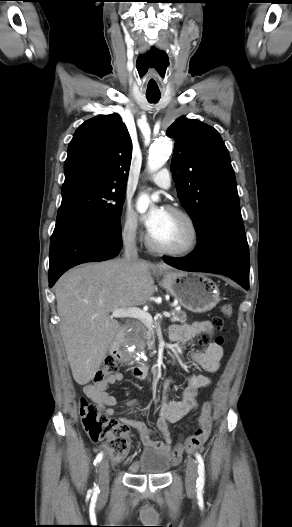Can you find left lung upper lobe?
<instances>
[{
    "mask_svg": "<svg viewBox=\"0 0 292 527\" xmlns=\"http://www.w3.org/2000/svg\"><path fill=\"white\" fill-rule=\"evenodd\" d=\"M167 134L176 140L171 171L177 195L193 219L198 243L227 233L245 234L234 170L217 130L182 117Z\"/></svg>",
    "mask_w": 292,
    "mask_h": 527,
    "instance_id": "obj_1",
    "label": "left lung upper lobe"
}]
</instances>
